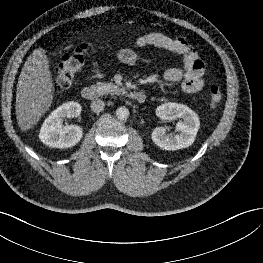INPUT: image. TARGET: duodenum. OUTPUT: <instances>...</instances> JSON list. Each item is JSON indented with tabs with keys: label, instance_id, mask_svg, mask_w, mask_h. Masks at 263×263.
Masks as SVG:
<instances>
[{
	"label": "duodenum",
	"instance_id": "duodenum-1",
	"mask_svg": "<svg viewBox=\"0 0 263 263\" xmlns=\"http://www.w3.org/2000/svg\"><path fill=\"white\" fill-rule=\"evenodd\" d=\"M82 97L87 101H92L98 97V90L94 86H86L81 91ZM130 97L139 103H142L146 99V95L141 91H132Z\"/></svg>",
	"mask_w": 263,
	"mask_h": 263
}]
</instances>
